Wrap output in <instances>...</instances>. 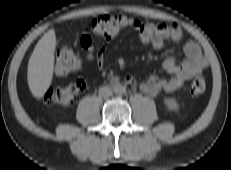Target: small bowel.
<instances>
[{
	"label": "small bowel",
	"mask_w": 231,
	"mask_h": 170,
	"mask_svg": "<svg viewBox=\"0 0 231 170\" xmlns=\"http://www.w3.org/2000/svg\"><path fill=\"white\" fill-rule=\"evenodd\" d=\"M136 25L132 27L142 42L152 45L156 49H163L168 40L179 42L182 39L181 27L173 23H147L142 24L135 19ZM110 37H103L104 45L108 43ZM81 46L88 52L94 50L93 38L90 34H85L80 39ZM103 48V47H102ZM185 59L178 63L175 57H168L163 62V68L171 75V78H161L157 75H150L148 78L137 82L133 76H126L125 81L129 84L138 83L140 89L149 95H157L162 92L173 93L179 90L183 84L200 75L207 66L200 47L193 41H187L183 46ZM102 49L98 54L97 61L102 64Z\"/></svg>",
	"instance_id": "small-bowel-1"
}]
</instances>
